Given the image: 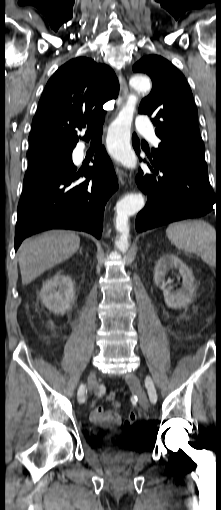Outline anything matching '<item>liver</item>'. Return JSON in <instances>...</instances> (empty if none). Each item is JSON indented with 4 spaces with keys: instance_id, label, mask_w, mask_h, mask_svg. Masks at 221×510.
Here are the masks:
<instances>
[{
    "instance_id": "obj_1",
    "label": "liver",
    "mask_w": 221,
    "mask_h": 510,
    "mask_svg": "<svg viewBox=\"0 0 221 510\" xmlns=\"http://www.w3.org/2000/svg\"><path fill=\"white\" fill-rule=\"evenodd\" d=\"M79 246L80 237L64 230L48 231L24 241L18 250L22 284L28 285L46 270L69 259Z\"/></svg>"
}]
</instances>
